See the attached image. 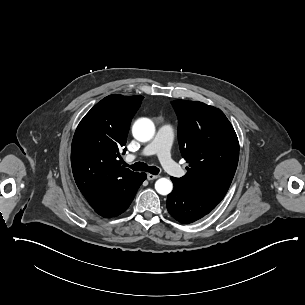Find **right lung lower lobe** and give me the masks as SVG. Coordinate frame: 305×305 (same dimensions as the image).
I'll list each match as a JSON object with an SVG mask.
<instances>
[{
    "label": "right lung lower lobe",
    "mask_w": 305,
    "mask_h": 305,
    "mask_svg": "<svg viewBox=\"0 0 305 305\" xmlns=\"http://www.w3.org/2000/svg\"><path fill=\"white\" fill-rule=\"evenodd\" d=\"M145 179L146 174L140 173L136 183L125 189L123 192L118 193L110 201L93 208L94 211L104 218L116 217L120 215L129 207L138 188Z\"/></svg>",
    "instance_id": "obj_1"
}]
</instances>
